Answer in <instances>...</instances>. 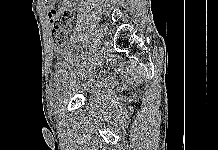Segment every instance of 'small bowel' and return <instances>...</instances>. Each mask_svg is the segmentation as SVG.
<instances>
[{"mask_svg": "<svg viewBox=\"0 0 218 150\" xmlns=\"http://www.w3.org/2000/svg\"><path fill=\"white\" fill-rule=\"evenodd\" d=\"M56 1L57 0H45L48 18L52 25V34L58 29L69 31L74 18L73 0H63L62 6L58 9L55 8Z\"/></svg>", "mask_w": 218, "mask_h": 150, "instance_id": "1", "label": "small bowel"}]
</instances>
